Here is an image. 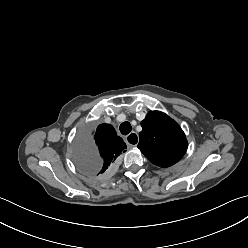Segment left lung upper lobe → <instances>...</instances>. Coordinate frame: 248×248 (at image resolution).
I'll use <instances>...</instances> for the list:
<instances>
[{
	"label": "left lung upper lobe",
	"mask_w": 248,
	"mask_h": 248,
	"mask_svg": "<svg viewBox=\"0 0 248 248\" xmlns=\"http://www.w3.org/2000/svg\"><path fill=\"white\" fill-rule=\"evenodd\" d=\"M141 126L138 148L150 162L165 168L183 157L187 150L185 134L168 115L150 111Z\"/></svg>",
	"instance_id": "1"
}]
</instances>
